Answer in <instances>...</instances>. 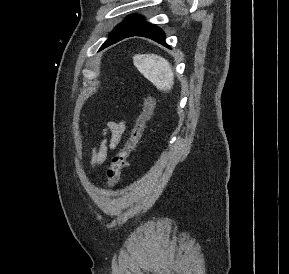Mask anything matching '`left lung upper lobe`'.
<instances>
[{
    "label": "left lung upper lobe",
    "mask_w": 289,
    "mask_h": 274,
    "mask_svg": "<svg viewBox=\"0 0 289 274\" xmlns=\"http://www.w3.org/2000/svg\"><path fill=\"white\" fill-rule=\"evenodd\" d=\"M144 22L142 16L131 15L123 23L119 24L115 30L110 34L109 38L102 45L111 43L112 41L118 40L126 34L136 29L140 24Z\"/></svg>",
    "instance_id": "5c2ea615"
}]
</instances>
